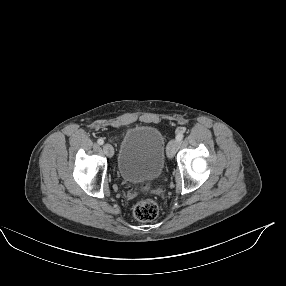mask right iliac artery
<instances>
[{
	"mask_svg": "<svg viewBox=\"0 0 286 286\" xmlns=\"http://www.w3.org/2000/svg\"><path fill=\"white\" fill-rule=\"evenodd\" d=\"M97 143H98L99 145H102V144L104 143V140H103L102 138H99V139L97 140Z\"/></svg>",
	"mask_w": 286,
	"mask_h": 286,
	"instance_id": "1",
	"label": "right iliac artery"
}]
</instances>
